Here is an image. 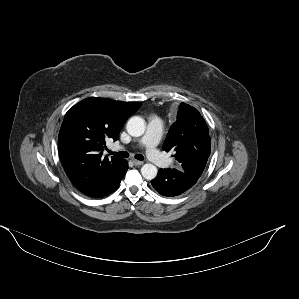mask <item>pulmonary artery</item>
Masks as SVG:
<instances>
[{
	"mask_svg": "<svg viewBox=\"0 0 299 299\" xmlns=\"http://www.w3.org/2000/svg\"><path fill=\"white\" fill-rule=\"evenodd\" d=\"M163 120L159 117H152L148 123L147 131L145 135L140 139L138 146L145 149L146 157L152 163L156 165H167L169 163L157 149V145L160 141L162 130H163ZM116 150H123L124 146L116 145L114 146Z\"/></svg>",
	"mask_w": 299,
	"mask_h": 299,
	"instance_id": "obj_1",
	"label": "pulmonary artery"
}]
</instances>
